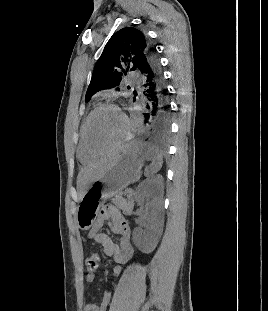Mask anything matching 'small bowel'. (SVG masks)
Listing matches in <instances>:
<instances>
[{
  "mask_svg": "<svg viewBox=\"0 0 268 311\" xmlns=\"http://www.w3.org/2000/svg\"><path fill=\"white\" fill-rule=\"evenodd\" d=\"M105 223L119 236L118 243L114 242L108 234L102 231ZM87 238L100 244L104 254L113 260L115 263L113 268L114 275L121 274L123 266L132 260L134 251L131 244L129 225L121 212L113 206H108L102 210L96 223L90 229ZM85 280L88 284H92L95 280L94 273L89 272ZM110 299V294L106 291L100 305L93 303L86 304L84 311H106Z\"/></svg>",
  "mask_w": 268,
  "mask_h": 311,
  "instance_id": "1",
  "label": "small bowel"
}]
</instances>
